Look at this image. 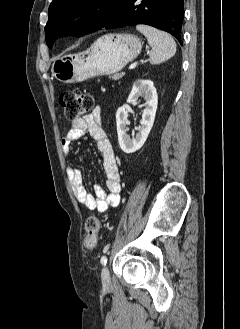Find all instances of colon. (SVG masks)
<instances>
[{
  "label": "colon",
  "mask_w": 240,
  "mask_h": 329,
  "mask_svg": "<svg viewBox=\"0 0 240 329\" xmlns=\"http://www.w3.org/2000/svg\"><path fill=\"white\" fill-rule=\"evenodd\" d=\"M60 105L65 110V116L69 120L78 119L83 113L91 109L94 99L91 95L77 91H65L59 99ZM86 236L84 244L87 249H93L97 245L100 220L97 217H89L86 221Z\"/></svg>",
  "instance_id": "1"
}]
</instances>
